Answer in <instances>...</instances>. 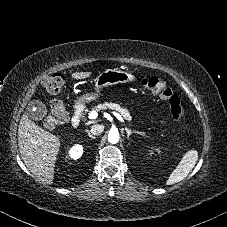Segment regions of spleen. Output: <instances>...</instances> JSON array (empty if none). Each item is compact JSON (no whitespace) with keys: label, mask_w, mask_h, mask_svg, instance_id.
<instances>
[{"label":"spleen","mask_w":227,"mask_h":227,"mask_svg":"<svg viewBox=\"0 0 227 227\" xmlns=\"http://www.w3.org/2000/svg\"><path fill=\"white\" fill-rule=\"evenodd\" d=\"M198 159V152L196 150L187 151L182 157L177 167L172 171L166 181V185H172L182 181L195 167Z\"/></svg>","instance_id":"spleen-1"}]
</instances>
